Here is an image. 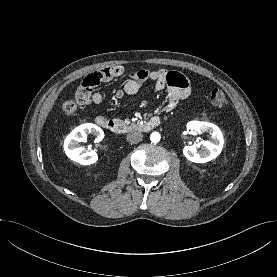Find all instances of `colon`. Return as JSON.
Returning <instances> with one entry per match:
<instances>
[{"label": "colon", "instance_id": "5ec220e1", "mask_svg": "<svg viewBox=\"0 0 277 277\" xmlns=\"http://www.w3.org/2000/svg\"><path fill=\"white\" fill-rule=\"evenodd\" d=\"M77 103L74 100L64 101L61 105L62 112L66 115L74 114L78 107ZM210 103L215 108L222 109L228 104V98L222 90L215 89L210 94Z\"/></svg>", "mask_w": 277, "mask_h": 277}]
</instances>
